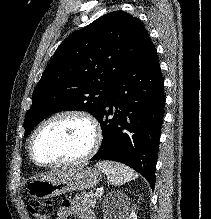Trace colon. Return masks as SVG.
Segmentation results:
<instances>
[{"label": "colon", "instance_id": "obj_1", "mask_svg": "<svg viewBox=\"0 0 211 219\" xmlns=\"http://www.w3.org/2000/svg\"><path fill=\"white\" fill-rule=\"evenodd\" d=\"M28 210L34 219H51L54 206L49 201L33 200L29 202Z\"/></svg>", "mask_w": 211, "mask_h": 219}]
</instances>
